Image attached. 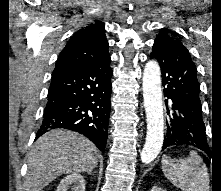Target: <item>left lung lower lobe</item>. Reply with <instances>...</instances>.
<instances>
[{
  "label": "left lung lower lobe",
  "instance_id": "0a47b994",
  "mask_svg": "<svg viewBox=\"0 0 221 191\" xmlns=\"http://www.w3.org/2000/svg\"><path fill=\"white\" fill-rule=\"evenodd\" d=\"M150 58L159 62L162 85L166 86L165 105L173 111L169 115L162 150L176 145H190L207 153L199 99L200 85L189 51L178 39H156Z\"/></svg>",
  "mask_w": 221,
  "mask_h": 191
}]
</instances>
